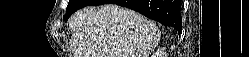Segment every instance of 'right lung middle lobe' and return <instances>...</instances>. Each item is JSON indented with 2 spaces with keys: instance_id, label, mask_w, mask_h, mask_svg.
I'll return each mask as SVG.
<instances>
[{
  "instance_id": "1",
  "label": "right lung middle lobe",
  "mask_w": 249,
  "mask_h": 57,
  "mask_svg": "<svg viewBox=\"0 0 249 57\" xmlns=\"http://www.w3.org/2000/svg\"><path fill=\"white\" fill-rule=\"evenodd\" d=\"M92 0H70L66 9L64 20H67L76 10L88 6Z\"/></svg>"
}]
</instances>
